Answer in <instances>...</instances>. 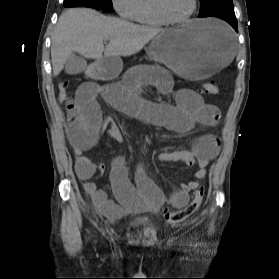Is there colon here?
I'll return each mask as SVG.
<instances>
[{"instance_id":"5ec220e1","label":"colon","mask_w":279,"mask_h":279,"mask_svg":"<svg viewBox=\"0 0 279 279\" xmlns=\"http://www.w3.org/2000/svg\"><path fill=\"white\" fill-rule=\"evenodd\" d=\"M201 91L207 94H218L219 88L215 83H205L201 87ZM70 96L68 91V83L62 81L58 84V99L61 102H65ZM204 195V190L202 187H199L194 190L190 202L183 208L173 210L166 209L164 212V217L167 222L171 224H177L185 221L191 215H193L201 205Z\"/></svg>"}]
</instances>
